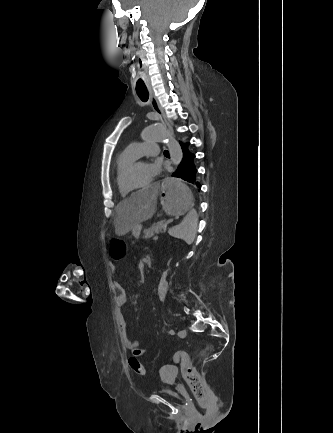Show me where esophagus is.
<instances>
[{
  "label": "esophagus",
  "instance_id": "1",
  "mask_svg": "<svg viewBox=\"0 0 333 433\" xmlns=\"http://www.w3.org/2000/svg\"><path fill=\"white\" fill-rule=\"evenodd\" d=\"M149 92V97H150V104L152 109L155 111V113L159 116V118L161 119V122L163 123V125L169 130L172 131V129L170 128V126L167 124L166 118L164 116V113L161 109V107L159 106L158 102L156 101L153 92L151 89H148Z\"/></svg>",
  "mask_w": 333,
  "mask_h": 433
}]
</instances>
